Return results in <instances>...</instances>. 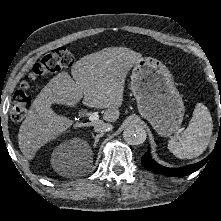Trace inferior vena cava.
Returning a JSON list of instances; mask_svg holds the SVG:
<instances>
[{
	"label": "inferior vena cava",
	"mask_w": 221,
	"mask_h": 221,
	"mask_svg": "<svg viewBox=\"0 0 221 221\" xmlns=\"http://www.w3.org/2000/svg\"><path fill=\"white\" fill-rule=\"evenodd\" d=\"M113 129V126L110 123H105V122H97L94 125V130L95 132H100V133H104V132H109Z\"/></svg>",
	"instance_id": "1"
}]
</instances>
